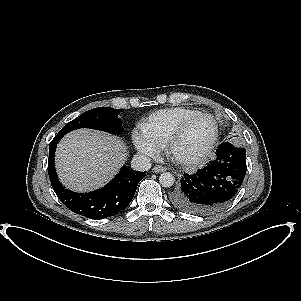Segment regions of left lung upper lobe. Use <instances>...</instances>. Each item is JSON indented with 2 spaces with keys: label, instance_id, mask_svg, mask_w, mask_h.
I'll return each instance as SVG.
<instances>
[{
  "label": "left lung upper lobe",
  "instance_id": "left-lung-upper-lobe-1",
  "mask_svg": "<svg viewBox=\"0 0 301 301\" xmlns=\"http://www.w3.org/2000/svg\"><path fill=\"white\" fill-rule=\"evenodd\" d=\"M175 192H176V191H175ZM175 192L172 194L171 198H173V196H174Z\"/></svg>",
  "mask_w": 301,
  "mask_h": 301
}]
</instances>
